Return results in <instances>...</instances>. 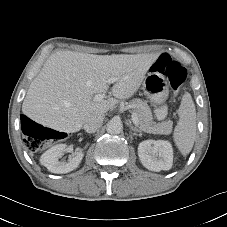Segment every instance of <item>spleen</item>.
I'll list each match as a JSON object with an SVG mask.
<instances>
[{"label": "spleen", "mask_w": 227, "mask_h": 227, "mask_svg": "<svg viewBox=\"0 0 227 227\" xmlns=\"http://www.w3.org/2000/svg\"><path fill=\"white\" fill-rule=\"evenodd\" d=\"M178 115L179 121L174 129L173 140L185 156L192 150L196 137V109L189 93L183 95Z\"/></svg>", "instance_id": "obj_1"}]
</instances>
